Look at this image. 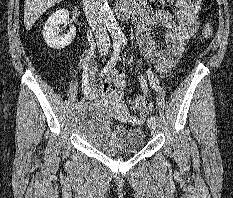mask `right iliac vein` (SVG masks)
Wrapping results in <instances>:
<instances>
[{
  "mask_svg": "<svg viewBox=\"0 0 233 198\" xmlns=\"http://www.w3.org/2000/svg\"><path fill=\"white\" fill-rule=\"evenodd\" d=\"M81 109L78 108V113L80 112Z\"/></svg>",
  "mask_w": 233,
  "mask_h": 198,
  "instance_id": "63e3f726",
  "label": "right iliac vein"
}]
</instances>
